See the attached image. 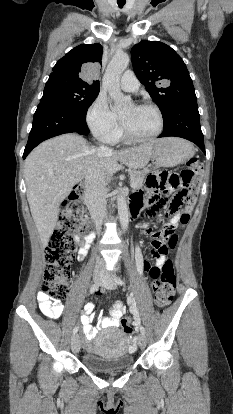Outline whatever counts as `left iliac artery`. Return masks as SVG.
Listing matches in <instances>:
<instances>
[{
    "label": "left iliac artery",
    "mask_w": 233,
    "mask_h": 414,
    "mask_svg": "<svg viewBox=\"0 0 233 414\" xmlns=\"http://www.w3.org/2000/svg\"><path fill=\"white\" fill-rule=\"evenodd\" d=\"M114 280L118 285L123 284L122 279L120 277H118L117 275H114ZM133 311H134L136 321L140 324V317H139V312H138L137 307H136V303H134ZM140 331H141V333L145 334V329L142 325H140Z\"/></svg>",
    "instance_id": "obj_1"
}]
</instances>
